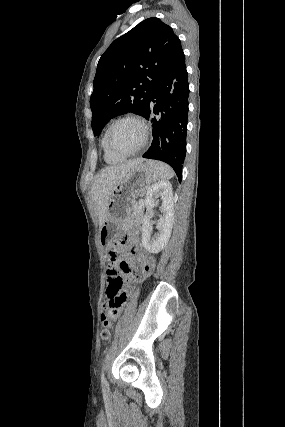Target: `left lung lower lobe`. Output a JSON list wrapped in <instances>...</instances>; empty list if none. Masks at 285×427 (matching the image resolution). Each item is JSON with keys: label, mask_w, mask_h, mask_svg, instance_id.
<instances>
[{"label": "left lung lower lobe", "mask_w": 285, "mask_h": 427, "mask_svg": "<svg viewBox=\"0 0 285 427\" xmlns=\"http://www.w3.org/2000/svg\"><path fill=\"white\" fill-rule=\"evenodd\" d=\"M187 77L185 55L182 50L156 85L143 115L153 123V141L142 157L169 164L180 182L186 155L189 96ZM151 112L158 116L152 118Z\"/></svg>", "instance_id": "0a47b994"}]
</instances>
